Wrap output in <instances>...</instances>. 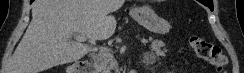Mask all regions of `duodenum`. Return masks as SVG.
Listing matches in <instances>:
<instances>
[{
    "mask_svg": "<svg viewBox=\"0 0 244 73\" xmlns=\"http://www.w3.org/2000/svg\"><path fill=\"white\" fill-rule=\"evenodd\" d=\"M68 73H95V72L89 63L82 62L77 64L76 62H73L72 65L70 66Z\"/></svg>",
    "mask_w": 244,
    "mask_h": 73,
    "instance_id": "1",
    "label": "duodenum"
}]
</instances>
